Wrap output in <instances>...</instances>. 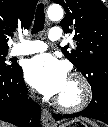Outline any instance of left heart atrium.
<instances>
[{"label":"left heart atrium","mask_w":108,"mask_h":127,"mask_svg":"<svg viewBox=\"0 0 108 127\" xmlns=\"http://www.w3.org/2000/svg\"><path fill=\"white\" fill-rule=\"evenodd\" d=\"M25 78L39 92L48 96L58 95L68 80L65 65L49 54L30 59L25 67Z\"/></svg>","instance_id":"left-heart-atrium-1"}]
</instances>
